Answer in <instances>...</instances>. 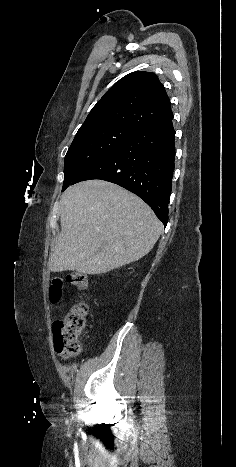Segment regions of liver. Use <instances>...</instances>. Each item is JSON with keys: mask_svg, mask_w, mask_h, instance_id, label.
Masks as SVG:
<instances>
[{"mask_svg": "<svg viewBox=\"0 0 236 467\" xmlns=\"http://www.w3.org/2000/svg\"><path fill=\"white\" fill-rule=\"evenodd\" d=\"M60 224L49 269L91 275L138 261L163 228L142 199L102 180L81 182L62 194Z\"/></svg>", "mask_w": 236, "mask_h": 467, "instance_id": "liver-1", "label": "liver"}]
</instances>
